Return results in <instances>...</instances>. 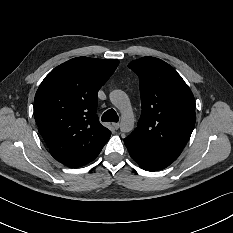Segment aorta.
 Returning <instances> with one entry per match:
<instances>
[{
  "label": "aorta",
  "mask_w": 233,
  "mask_h": 233,
  "mask_svg": "<svg viewBox=\"0 0 233 233\" xmlns=\"http://www.w3.org/2000/svg\"><path fill=\"white\" fill-rule=\"evenodd\" d=\"M110 100L121 114V130L125 132L132 130L135 118L128 95L123 91L117 90L110 94Z\"/></svg>",
  "instance_id": "aorta-1"
}]
</instances>
